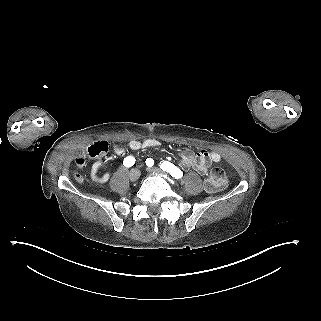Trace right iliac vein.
<instances>
[{"instance_id":"right-iliac-vein-1","label":"right iliac vein","mask_w":321,"mask_h":321,"mask_svg":"<svg viewBox=\"0 0 321 321\" xmlns=\"http://www.w3.org/2000/svg\"><path fill=\"white\" fill-rule=\"evenodd\" d=\"M140 177V170L138 169H132L130 172H129V179L132 181V182H135L139 179Z\"/></svg>"}]
</instances>
